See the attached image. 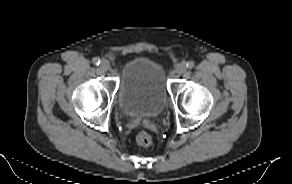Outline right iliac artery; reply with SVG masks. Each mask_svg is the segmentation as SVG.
Instances as JSON below:
<instances>
[{
  "label": "right iliac artery",
  "mask_w": 292,
  "mask_h": 184,
  "mask_svg": "<svg viewBox=\"0 0 292 184\" xmlns=\"http://www.w3.org/2000/svg\"><path fill=\"white\" fill-rule=\"evenodd\" d=\"M93 63L95 65H99L100 64V59L98 57L93 58Z\"/></svg>",
  "instance_id": "right-iliac-artery-1"
}]
</instances>
